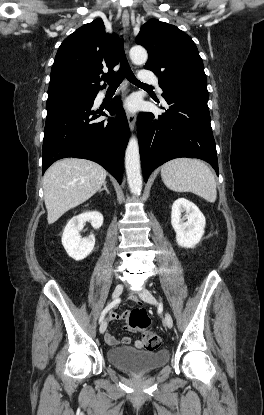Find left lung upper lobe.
<instances>
[{"instance_id": "5c2ea615", "label": "left lung upper lobe", "mask_w": 264, "mask_h": 415, "mask_svg": "<svg viewBox=\"0 0 264 415\" xmlns=\"http://www.w3.org/2000/svg\"><path fill=\"white\" fill-rule=\"evenodd\" d=\"M136 43L147 49L144 68L157 74L163 97L185 91L208 94L198 49L176 26L151 19L141 27Z\"/></svg>"}]
</instances>
